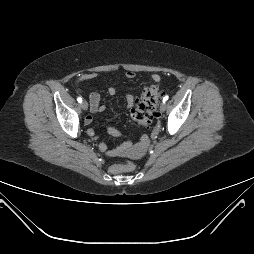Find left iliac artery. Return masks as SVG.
<instances>
[{"instance_id": "left-iliac-artery-1", "label": "left iliac artery", "mask_w": 254, "mask_h": 254, "mask_svg": "<svg viewBox=\"0 0 254 254\" xmlns=\"http://www.w3.org/2000/svg\"><path fill=\"white\" fill-rule=\"evenodd\" d=\"M167 100H168V96L166 95V96H164V98H163V103H165Z\"/></svg>"}]
</instances>
